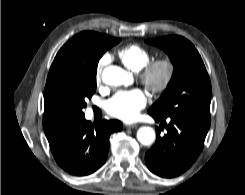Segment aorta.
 Segmentation results:
<instances>
[{
    "mask_svg": "<svg viewBox=\"0 0 245 195\" xmlns=\"http://www.w3.org/2000/svg\"><path fill=\"white\" fill-rule=\"evenodd\" d=\"M102 80L109 86L129 85L131 75L118 66H108L103 70ZM137 139L142 145H151L155 140V132L151 127L144 126L137 131Z\"/></svg>",
    "mask_w": 245,
    "mask_h": 195,
    "instance_id": "1",
    "label": "aorta"
}]
</instances>
